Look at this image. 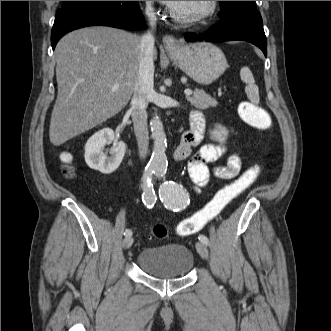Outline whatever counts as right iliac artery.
<instances>
[{"label":"right iliac artery","mask_w":331,"mask_h":331,"mask_svg":"<svg viewBox=\"0 0 331 331\" xmlns=\"http://www.w3.org/2000/svg\"><path fill=\"white\" fill-rule=\"evenodd\" d=\"M155 173V169L151 166H147L144 171L143 175V194H142V201L147 208H152L156 203V194L153 188V184H151V177L152 174ZM124 235L131 236L132 231L130 229H126Z\"/></svg>","instance_id":"obj_1"}]
</instances>
